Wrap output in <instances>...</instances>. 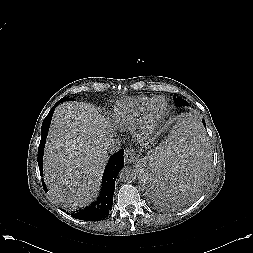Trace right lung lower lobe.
<instances>
[{
    "instance_id": "obj_1",
    "label": "right lung lower lobe",
    "mask_w": 253,
    "mask_h": 253,
    "mask_svg": "<svg viewBox=\"0 0 253 253\" xmlns=\"http://www.w3.org/2000/svg\"><path fill=\"white\" fill-rule=\"evenodd\" d=\"M62 100H59L53 108L50 110L46 118L42 123L41 128V141L38 148V165L40 169V175L42 176V159L44 146L46 142V137L48 134L49 126L51 123L52 115L56 106H58ZM124 150L121 149L117 153H114L105 168L102 180V187L100 191V196L95 202H93L89 207H86L83 210L76 211L71 213V216L85 221H100L106 218L109 215V211L112 209L113 204V194L115 190V180L118 175L119 170L124 166ZM42 185L47 192L44 181L42 180Z\"/></svg>"
}]
</instances>
